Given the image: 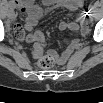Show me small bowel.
Instances as JSON below:
<instances>
[{"mask_svg": "<svg viewBox=\"0 0 103 103\" xmlns=\"http://www.w3.org/2000/svg\"><path fill=\"white\" fill-rule=\"evenodd\" d=\"M8 6L11 7V11L16 7L19 8L21 12L27 14L23 26L20 24L14 25L13 33L17 40H26L34 44L32 48V55L35 59H38L43 54L45 35L40 31L34 33H26V31H32L38 21L52 11L57 9H65L73 12L79 8H82L84 6V2L82 0H47L45 1L44 7H41L29 0H14L11 1ZM14 16L15 14L13 13V17ZM88 19V13L84 12L77 17V22H61L59 24V29L71 31H77L80 29L83 34H86L88 32ZM78 46L79 42L73 41L58 55V62L60 64L65 63L72 55L74 50L78 48ZM51 53L54 54L53 51H51Z\"/></svg>", "mask_w": 103, "mask_h": 103, "instance_id": "obj_1", "label": "small bowel"}]
</instances>
